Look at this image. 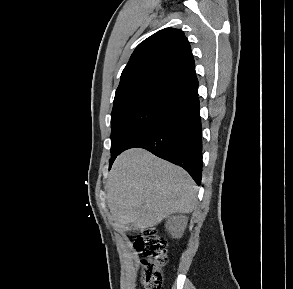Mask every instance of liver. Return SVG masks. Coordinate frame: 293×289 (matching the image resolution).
<instances>
[{
  "instance_id": "6515ba94",
  "label": "liver",
  "mask_w": 293,
  "mask_h": 289,
  "mask_svg": "<svg viewBox=\"0 0 293 289\" xmlns=\"http://www.w3.org/2000/svg\"><path fill=\"white\" fill-rule=\"evenodd\" d=\"M197 193L185 170L138 148L118 156L107 181L108 207L125 231H144L173 213L192 212Z\"/></svg>"
}]
</instances>
